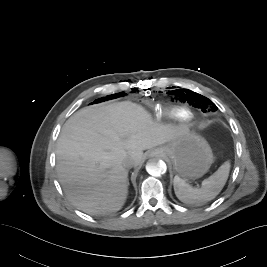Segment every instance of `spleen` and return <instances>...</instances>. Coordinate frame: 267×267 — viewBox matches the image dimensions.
Wrapping results in <instances>:
<instances>
[{
  "instance_id": "3e777b00",
  "label": "spleen",
  "mask_w": 267,
  "mask_h": 267,
  "mask_svg": "<svg viewBox=\"0 0 267 267\" xmlns=\"http://www.w3.org/2000/svg\"><path fill=\"white\" fill-rule=\"evenodd\" d=\"M230 163L227 161L209 178L203 180L201 188H193L179 176L174 177V191L177 198L188 204H203L214 199L223 189L229 176Z\"/></svg>"
}]
</instances>
